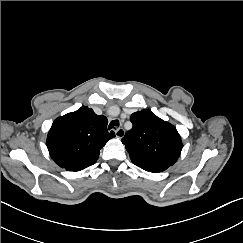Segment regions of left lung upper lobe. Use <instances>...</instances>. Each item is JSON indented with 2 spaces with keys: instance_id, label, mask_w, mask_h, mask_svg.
Masks as SVG:
<instances>
[{
  "instance_id": "1",
  "label": "left lung upper lobe",
  "mask_w": 243,
  "mask_h": 243,
  "mask_svg": "<svg viewBox=\"0 0 243 243\" xmlns=\"http://www.w3.org/2000/svg\"><path fill=\"white\" fill-rule=\"evenodd\" d=\"M133 127L122 138L131 161L137 166L167 169L180 156L182 142L176 128L150 110L130 117Z\"/></svg>"
}]
</instances>
